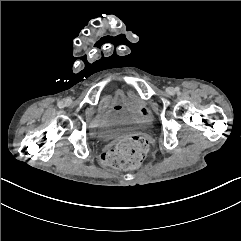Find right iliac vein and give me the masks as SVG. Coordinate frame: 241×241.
<instances>
[{
	"label": "right iliac vein",
	"instance_id": "1",
	"mask_svg": "<svg viewBox=\"0 0 241 241\" xmlns=\"http://www.w3.org/2000/svg\"><path fill=\"white\" fill-rule=\"evenodd\" d=\"M64 103H65V105H70L71 104V99L70 98H66Z\"/></svg>",
	"mask_w": 241,
	"mask_h": 241
}]
</instances>
